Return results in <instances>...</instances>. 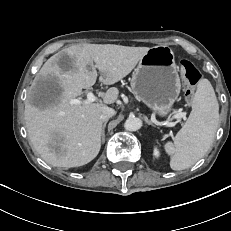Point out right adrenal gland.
Instances as JSON below:
<instances>
[{
  "label": "right adrenal gland",
  "instance_id": "right-adrenal-gland-1",
  "mask_svg": "<svg viewBox=\"0 0 231 231\" xmlns=\"http://www.w3.org/2000/svg\"><path fill=\"white\" fill-rule=\"evenodd\" d=\"M107 122H108V120H105L104 124L102 126V143H104V141H105V127H106Z\"/></svg>",
  "mask_w": 231,
  "mask_h": 231
}]
</instances>
